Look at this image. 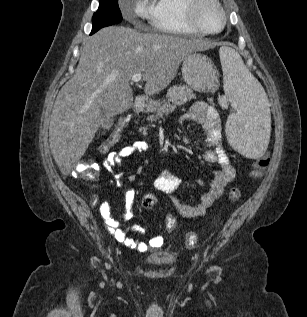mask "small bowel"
<instances>
[{
  "label": "small bowel",
  "instance_id": "obj_1",
  "mask_svg": "<svg viewBox=\"0 0 307 317\" xmlns=\"http://www.w3.org/2000/svg\"><path fill=\"white\" fill-rule=\"evenodd\" d=\"M184 121H193L202 126L207 135V145L210 147L204 154L205 160L219 164L220 169L214 174L206 192L202 194L200 202L196 205H189L176 196L181 186V180L169 170L162 171L155 178L153 187L155 190L169 195L172 204L183 217H201L206 214L207 209L223 194L226 186L235 179L236 170L220 144L222 127L219 114L214 107L204 102H196L192 105L189 112L181 118V122ZM150 150L151 145L148 142L134 141L120 150L110 152L102 161L103 167L117 178L116 185L126 189V210L120 217H113L110 213V202L105 200L100 205L101 218L107 230L117 241L128 247L136 248L140 252L160 248L163 244V237L156 236L148 242H139L129 238L126 230L121 228V222L128 221L133 217L132 205L135 192L132 188L126 186L122 180L125 174L122 172L117 173L116 169L121 166L125 158ZM128 179L130 180L131 178L128 177Z\"/></svg>",
  "mask_w": 307,
  "mask_h": 317
}]
</instances>
